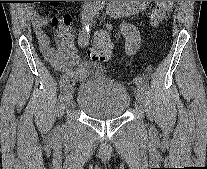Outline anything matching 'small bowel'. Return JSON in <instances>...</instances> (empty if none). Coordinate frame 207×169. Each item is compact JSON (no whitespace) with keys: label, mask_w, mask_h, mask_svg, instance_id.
<instances>
[{"label":"small bowel","mask_w":207,"mask_h":169,"mask_svg":"<svg viewBox=\"0 0 207 169\" xmlns=\"http://www.w3.org/2000/svg\"><path fill=\"white\" fill-rule=\"evenodd\" d=\"M72 2V1H68ZM149 1H114L109 8L112 16L134 13L143 9ZM34 33L44 59L55 69L64 72L70 78L86 79L102 71V66L94 61H81L73 41L71 24L72 17L68 14L55 15L54 25L55 45L51 43L45 28L48 20L36 10H30Z\"/></svg>","instance_id":"1"}]
</instances>
